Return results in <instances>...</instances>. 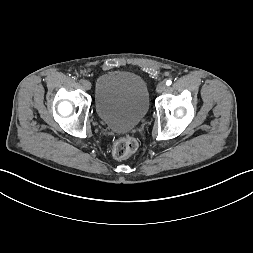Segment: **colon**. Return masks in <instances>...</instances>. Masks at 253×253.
Masks as SVG:
<instances>
[{
	"mask_svg": "<svg viewBox=\"0 0 253 253\" xmlns=\"http://www.w3.org/2000/svg\"><path fill=\"white\" fill-rule=\"evenodd\" d=\"M138 147V142L135 138L127 136L115 142L112 148V156L115 159H125L133 154Z\"/></svg>",
	"mask_w": 253,
	"mask_h": 253,
	"instance_id": "5ec220e1",
	"label": "colon"
}]
</instances>
